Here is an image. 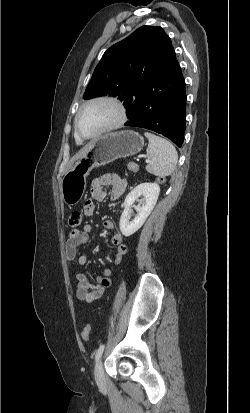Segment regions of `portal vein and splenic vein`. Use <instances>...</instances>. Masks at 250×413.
Segmentation results:
<instances>
[{
	"instance_id": "obj_1",
	"label": "portal vein and splenic vein",
	"mask_w": 250,
	"mask_h": 413,
	"mask_svg": "<svg viewBox=\"0 0 250 413\" xmlns=\"http://www.w3.org/2000/svg\"><path fill=\"white\" fill-rule=\"evenodd\" d=\"M137 160H139V159H137ZM149 161H150L149 159L146 160L147 163H148Z\"/></svg>"
}]
</instances>
